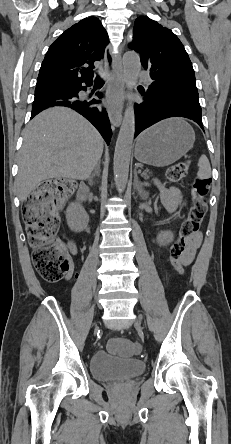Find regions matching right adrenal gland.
<instances>
[{"instance_id":"2a0ac1e0","label":"right adrenal gland","mask_w":231,"mask_h":444,"mask_svg":"<svg viewBox=\"0 0 231 444\" xmlns=\"http://www.w3.org/2000/svg\"><path fill=\"white\" fill-rule=\"evenodd\" d=\"M100 175V161L96 164L94 172L89 177V184L93 185V178Z\"/></svg>"}]
</instances>
